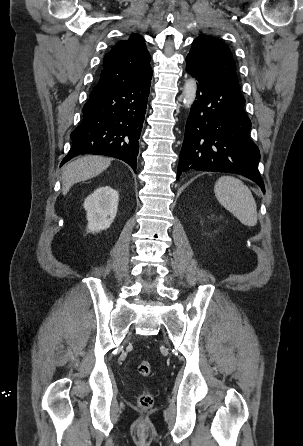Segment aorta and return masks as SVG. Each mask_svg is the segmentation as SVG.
I'll return each mask as SVG.
<instances>
[{
	"label": "aorta",
	"instance_id": "762f6f07",
	"mask_svg": "<svg viewBox=\"0 0 303 446\" xmlns=\"http://www.w3.org/2000/svg\"><path fill=\"white\" fill-rule=\"evenodd\" d=\"M197 92V84L194 79H189L185 82L183 88V104L185 107H191L195 101Z\"/></svg>",
	"mask_w": 303,
	"mask_h": 446
}]
</instances>
